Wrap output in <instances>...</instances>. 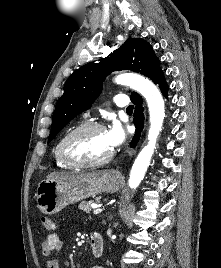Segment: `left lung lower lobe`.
I'll list each match as a JSON object with an SVG mask.
<instances>
[{"mask_svg":"<svg viewBox=\"0 0 221 268\" xmlns=\"http://www.w3.org/2000/svg\"><path fill=\"white\" fill-rule=\"evenodd\" d=\"M159 88L162 92V94L167 98V91H168V86L167 83L165 81V78H163L159 83ZM131 101L133 102V104H135V112H134V125L136 127V133L133 137V140L130 144L131 147H135L140 135H141V131L143 129V125H144V115H143V108L142 106V98L141 96L138 94L134 97L131 98Z\"/></svg>","mask_w":221,"mask_h":268,"instance_id":"1","label":"left lung lower lobe"}]
</instances>
